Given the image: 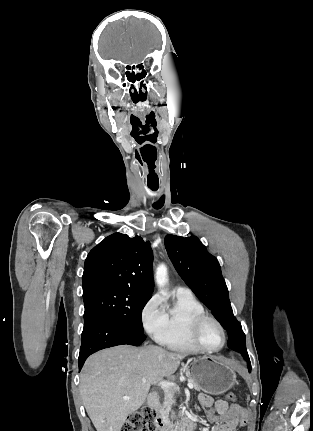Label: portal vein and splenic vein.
I'll return each instance as SVG.
<instances>
[{"instance_id":"portal-vein-and-splenic-vein-1","label":"portal vein and splenic vein","mask_w":313,"mask_h":431,"mask_svg":"<svg viewBox=\"0 0 313 431\" xmlns=\"http://www.w3.org/2000/svg\"><path fill=\"white\" fill-rule=\"evenodd\" d=\"M159 386H161L164 389H169V388H176L179 389L178 385L175 382H171V381H161L159 383ZM188 388L192 389L194 387L193 383H188ZM124 399L128 400L130 399L129 397H124Z\"/></svg>"}]
</instances>
